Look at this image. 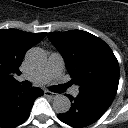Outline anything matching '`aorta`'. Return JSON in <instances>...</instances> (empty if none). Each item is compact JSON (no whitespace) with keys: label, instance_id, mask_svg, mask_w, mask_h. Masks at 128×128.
<instances>
[{"label":"aorta","instance_id":"aorta-1","mask_svg":"<svg viewBox=\"0 0 128 128\" xmlns=\"http://www.w3.org/2000/svg\"><path fill=\"white\" fill-rule=\"evenodd\" d=\"M26 60L31 66H41L46 61L45 53L40 48H31L26 54ZM71 102L65 95H56L53 100V109L56 113L64 114L70 110Z\"/></svg>","mask_w":128,"mask_h":128}]
</instances>
